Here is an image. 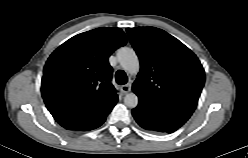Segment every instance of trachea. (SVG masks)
I'll return each instance as SVG.
<instances>
[{"instance_id":"trachea-1","label":"trachea","mask_w":248,"mask_h":158,"mask_svg":"<svg viewBox=\"0 0 248 158\" xmlns=\"http://www.w3.org/2000/svg\"><path fill=\"white\" fill-rule=\"evenodd\" d=\"M127 81H128V78H127L126 73L123 70H118L116 72V82L119 85H124L127 83Z\"/></svg>"}]
</instances>
